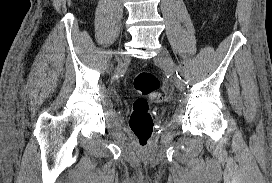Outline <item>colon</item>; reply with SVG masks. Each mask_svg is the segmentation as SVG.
Wrapping results in <instances>:
<instances>
[{
	"label": "colon",
	"instance_id": "1",
	"mask_svg": "<svg viewBox=\"0 0 272 183\" xmlns=\"http://www.w3.org/2000/svg\"><path fill=\"white\" fill-rule=\"evenodd\" d=\"M133 87L140 95L133 103L129 118V127L136 141L142 147L146 146L153 133V119L149 111L147 98L161 100L164 96L158 93L160 81L149 71H141L133 79Z\"/></svg>",
	"mask_w": 272,
	"mask_h": 183
}]
</instances>
